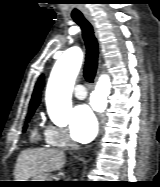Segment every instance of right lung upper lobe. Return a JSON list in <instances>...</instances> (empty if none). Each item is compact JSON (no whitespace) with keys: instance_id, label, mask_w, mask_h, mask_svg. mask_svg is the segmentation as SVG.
<instances>
[{"instance_id":"1","label":"right lung upper lobe","mask_w":160,"mask_h":187,"mask_svg":"<svg viewBox=\"0 0 160 187\" xmlns=\"http://www.w3.org/2000/svg\"><path fill=\"white\" fill-rule=\"evenodd\" d=\"M43 81H44V77H43V75H41V77L39 78L38 82L35 85V89H34V92H33V95H32V99L30 101L29 110L36 109V107L40 103V96H41V90L43 88Z\"/></svg>"}]
</instances>
